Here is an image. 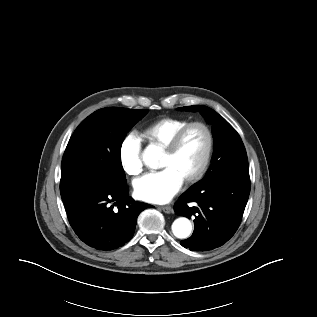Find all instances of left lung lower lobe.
I'll list each match as a JSON object with an SVG mask.
<instances>
[{
    "label": "left lung lower lobe",
    "instance_id": "left-lung-lower-lobe-1",
    "mask_svg": "<svg viewBox=\"0 0 317 317\" xmlns=\"http://www.w3.org/2000/svg\"><path fill=\"white\" fill-rule=\"evenodd\" d=\"M249 193V174L189 188L174 206L177 215L195 217L194 232L181 245L191 251H207L225 244L240 225Z\"/></svg>",
    "mask_w": 317,
    "mask_h": 317
}]
</instances>
